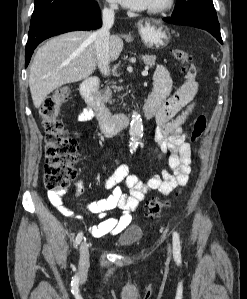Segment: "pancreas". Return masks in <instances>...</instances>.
I'll list each match as a JSON object with an SVG mask.
<instances>
[{
    "label": "pancreas",
    "instance_id": "cf45deb5",
    "mask_svg": "<svg viewBox=\"0 0 247 299\" xmlns=\"http://www.w3.org/2000/svg\"><path fill=\"white\" fill-rule=\"evenodd\" d=\"M142 60H143L144 64H146L147 66L153 67V66H155L156 56L155 55H145L142 57ZM111 88L113 89L114 92L120 91L123 89L122 86L117 87L116 85H112L111 87H109V86L105 87L104 90L102 91L103 97L109 101H111V97H112Z\"/></svg>",
    "mask_w": 247,
    "mask_h": 299
}]
</instances>
